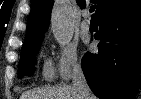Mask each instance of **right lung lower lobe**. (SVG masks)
<instances>
[{
  "mask_svg": "<svg viewBox=\"0 0 141 99\" xmlns=\"http://www.w3.org/2000/svg\"><path fill=\"white\" fill-rule=\"evenodd\" d=\"M97 18L98 53L82 59L88 85L100 99H133L140 85L141 0H111Z\"/></svg>",
  "mask_w": 141,
  "mask_h": 99,
  "instance_id": "1",
  "label": "right lung lower lobe"
}]
</instances>
